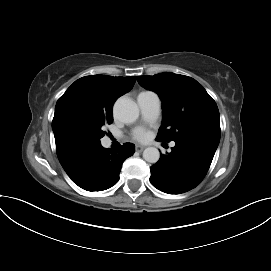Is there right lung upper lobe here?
I'll use <instances>...</instances> for the list:
<instances>
[{"label":"right lung upper lobe","mask_w":271,"mask_h":271,"mask_svg":"<svg viewBox=\"0 0 271 271\" xmlns=\"http://www.w3.org/2000/svg\"><path fill=\"white\" fill-rule=\"evenodd\" d=\"M136 77H112L106 75L85 76L75 81L58 99L52 121L56 151L62 164L75 155L86 151L69 144L59 133L57 123L69 107L82 105L103 111H112L115 100L129 92Z\"/></svg>","instance_id":"obj_1"}]
</instances>
